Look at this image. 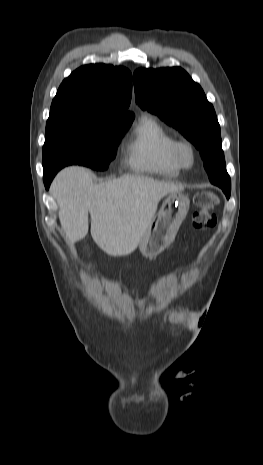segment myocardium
<instances>
[{
  "mask_svg": "<svg viewBox=\"0 0 263 465\" xmlns=\"http://www.w3.org/2000/svg\"><path fill=\"white\" fill-rule=\"evenodd\" d=\"M172 154L182 168H191L196 161V150L192 142L186 139L175 140Z\"/></svg>",
  "mask_w": 263,
  "mask_h": 465,
  "instance_id": "1",
  "label": "myocardium"
}]
</instances>
